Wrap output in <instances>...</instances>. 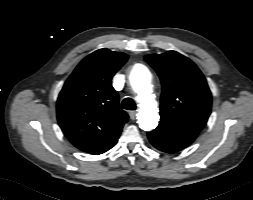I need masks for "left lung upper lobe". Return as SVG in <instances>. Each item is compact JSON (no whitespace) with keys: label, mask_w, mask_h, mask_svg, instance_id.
<instances>
[{"label":"left lung upper lobe","mask_w":253,"mask_h":200,"mask_svg":"<svg viewBox=\"0 0 253 200\" xmlns=\"http://www.w3.org/2000/svg\"><path fill=\"white\" fill-rule=\"evenodd\" d=\"M144 59L161 79L160 122L200 132L211 113V92L198 67L176 51Z\"/></svg>","instance_id":"5c2ea615"}]
</instances>
